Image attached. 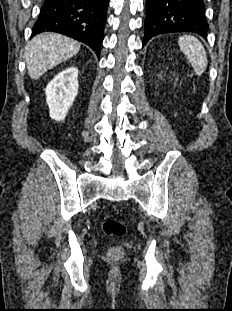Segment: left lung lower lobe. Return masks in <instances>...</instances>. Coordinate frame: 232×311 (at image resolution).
Masks as SVG:
<instances>
[{
  "label": "left lung lower lobe",
  "instance_id": "0a47b994",
  "mask_svg": "<svg viewBox=\"0 0 232 311\" xmlns=\"http://www.w3.org/2000/svg\"><path fill=\"white\" fill-rule=\"evenodd\" d=\"M143 44L171 32H195L206 38L208 24L203 0H147Z\"/></svg>",
  "mask_w": 232,
  "mask_h": 311
}]
</instances>
